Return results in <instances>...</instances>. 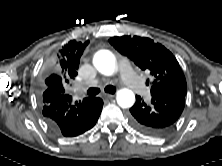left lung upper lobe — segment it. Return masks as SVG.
Returning <instances> with one entry per match:
<instances>
[{"instance_id":"5c2ea615","label":"left lung upper lobe","mask_w":222,"mask_h":166,"mask_svg":"<svg viewBox=\"0 0 222 166\" xmlns=\"http://www.w3.org/2000/svg\"><path fill=\"white\" fill-rule=\"evenodd\" d=\"M109 42L138 67L154 76L151 94L162 91L186 94L187 84L183 71L174 55L164 46L139 36L112 37Z\"/></svg>"}]
</instances>
